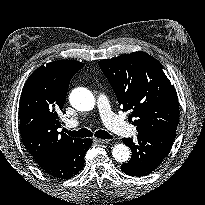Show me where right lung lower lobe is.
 <instances>
[{
  "label": "right lung lower lobe",
  "mask_w": 205,
  "mask_h": 205,
  "mask_svg": "<svg viewBox=\"0 0 205 205\" xmlns=\"http://www.w3.org/2000/svg\"><path fill=\"white\" fill-rule=\"evenodd\" d=\"M91 144V139H81L63 155L45 166H41V169L53 177L69 179L83 168L84 155Z\"/></svg>",
  "instance_id": "right-lung-lower-lobe-1"
}]
</instances>
